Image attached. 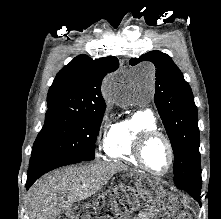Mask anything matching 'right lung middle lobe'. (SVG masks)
<instances>
[{
    "instance_id": "dd1d6c3e",
    "label": "right lung middle lobe",
    "mask_w": 221,
    "mask_h": 219,
    "mask_svg": "<svg viewBox=\"0 0 221 219\" xmlns=\"http://www.w3.org/2000/svg\"><path fill=\"white\" fill-rule=\"evenodd\" d=\"M104 110L48 107L45 124L36 138L32 154L44 150L75 160H93Z\"/></svg>"
}]
</instances>
